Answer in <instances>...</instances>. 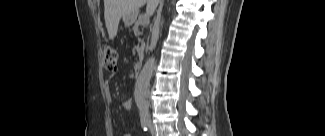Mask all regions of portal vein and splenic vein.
<instances>
[{
  "instance_id": "18ae733b",
  "label": "portal vein and splenic vein",
  "mask_w": 325,
  "mask_h": 136,
  "mask_svg": "<svg viewBox=\"0 0 325 136\" xmlns=\"http://www.w3.org/2000/svg\"><path fill=\"white\" fill-rule=\"evenodd\" d=\"M141 23H143V24H147V23H149V16H148V15H144V16L141 18Z\"/></svg>"
}]
</instances>
